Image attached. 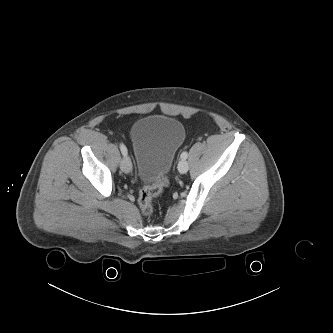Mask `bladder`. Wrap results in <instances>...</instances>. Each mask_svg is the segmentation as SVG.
I'll return each instance as SVG.
<instances>
[{"label": "bladder", "instance_id": "1", "mask_svg": "<svg viewBox=\"0 0 333 333\" xmlns=\"http://www.w3.org/2000/svg\"><path fill=\"white\" fill-rule=\"evenodd\" d=\"M130 139L139 177L155 182L166 176L185 139L183 124L172 117L151 115L138 119L131 127Z\"/></svg>", "mask_w": 333, "mask_h": 333}]
</instances>
